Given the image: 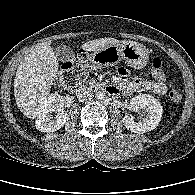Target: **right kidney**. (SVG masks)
I'll return each mask as SVG.
<instances>
[{"instance_id":"right-kidney-1","label":"right kidney","mask_w":195,"mask_h":195,"mask_svg":"<svg viewBox=\"0 0 195 195\" xmlns=\"http://www.w3.org/2000/svg\"><path fill=\"white\" fill-rule=\"evenodd\" d=\"M52 112L56 113L54 117ZM67 121V113L64 111V99L54 93L45 97L38 107V115L35 126L41 132H54L59 130Z\"/></svg>"}]
</instances>
